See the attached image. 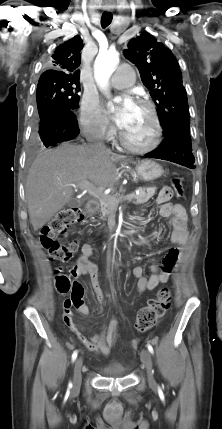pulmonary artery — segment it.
Segmentation results:
<instances>
[{
	"mask_svg": "<svg viewBox=\"0 0 222 429\" xmlns=\"http://www.w3.org/2000/svg\"><path fill=\"white\" fill-rule=\"evenodd\" d=\"M135 72L129 64H122L111 77V85L116 88L129 87L134 82Z\"/></svg>",
	"mask_w": 222,
	"mask_h": 429,
	"instance_id": "obj_1",
	"label": "pulmonary artery"
}]
</instances>
